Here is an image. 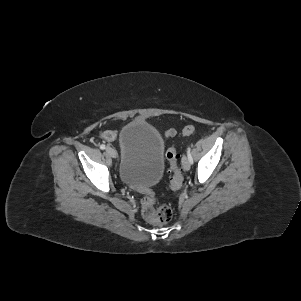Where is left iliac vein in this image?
Wrapping results in <instances>:
<instances>
[{"instance_id":"1","label":"left iliac vein","mask_w":301,"mask_h":301,"mask_svg":"<svg viewBox=\"0 0 301 301\" xmlns=\"http://www.w3.org/2000/svg\"><path fill=\"white\" fill-rule=\"evenodd\" d=\"M182 166H183L184 170H186V171L190 170L191 165H190L188 157L185 155L182 157Z\"/></svg>"}]
</instances>
